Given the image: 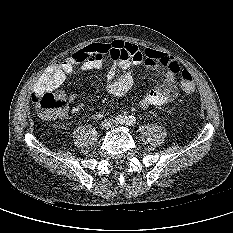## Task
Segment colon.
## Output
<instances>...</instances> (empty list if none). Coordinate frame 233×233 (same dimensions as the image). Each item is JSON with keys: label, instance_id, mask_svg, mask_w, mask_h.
<instances>
[{"label": "colon", "instance_id": "1", "mask_svg": "<svg viewBox=\"0 0 233 233\" xmlns=\"http://www.w3.org/2000/svg\"><path fill=\"white\" fill-rule=\"evenodd\" d=\"M179 83L181 89L185 93H194L195 84L189 71L183 70L180 73ZM32 101L38 108L40 114L46 118H56L60 116L67 106L66 99L62 94H53L48 91L34 92Z\"/></svg>", "mask_w": 233, "mask_h": 233}]
</instances>
